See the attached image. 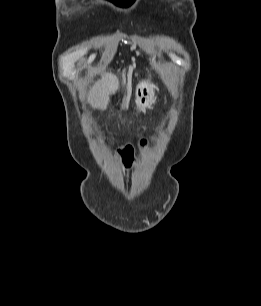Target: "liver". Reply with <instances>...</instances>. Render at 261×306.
Masks as SVG:
<instances>
[{
    "label": "liver",
    "mask_w": 261,
    "mask_h": 306,
    "mask_svg": "<svg viewBox=\"0 0 261 306\" xmlns=\"http://www.w3.org/2000/svg\"><path fill=\"white\" fill-rule=\"evenodd\" d=\"M119 87L116 75L105 73L101 80L97 81L88 94V102L93 108L105 110L109 103V96L115 94Z\"/></svg>",
    "instance_id": "6515ba94"
}]
</instances>
